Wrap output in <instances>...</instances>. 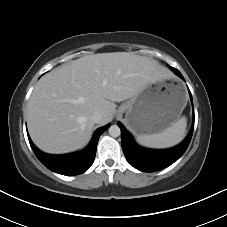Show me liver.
<instances>
[{"mask_svg": "<svg viewBox=\"0 0 227 227\" xmlns=\"http://www.w3.org/2000/svg\"><path fill=\"white\" fill-rule=\"evenodd\" d=\"M168 75L157 61L131 52L88 55L64 64L35 86L28 103L27 125L34 144L44 152L63 154L89 142L94 112L100 125L113 119L115 102L140 93Z\"/></svg>", "mask_w": 227, "mask_h": 227, "instance_id": "6515ba94", "label": "liver"}]
</instances>
